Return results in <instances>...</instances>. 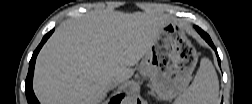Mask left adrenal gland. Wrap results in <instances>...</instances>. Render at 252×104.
<instances>
[{"label":"left adrenal gland","mask_w":252,"mask_h":104,"mask_svg":"<svg viewBox=\"0 0 252 104\" xmlns=\"http://www.w3.org/2000/svg\"><path fill=\"white\" fill-rule=\"evenodd\" d=\"M150 88H151V91L149 92V94L156 97V94L154 93L153 88L151 86H150Z\"/></svg>","instance_id":"obj_1"}]
</instances>
